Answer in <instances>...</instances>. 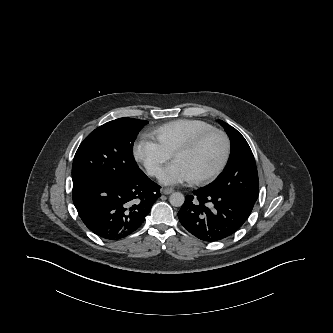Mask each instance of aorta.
Listing matches in <instances>:
<instances>
[{
	"instance_id": "aorta-1",
	"label": "aorta",
	"mask_w": 333,
	"mask_h": 333,
	"mask_svg": "<svg viewBox=\"0 0 333 333\" xmlns=\"http://www.w3.org/2000/svg\"><path fill=\"white\" fill-rule=\"evenodd\" d=\"M184 195L180 192H175L170 195L169 202L172 206L180 207L184 204Z\"/></svg>"
}]
</instances>
